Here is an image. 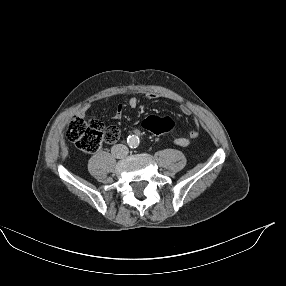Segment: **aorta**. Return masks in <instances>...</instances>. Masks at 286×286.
Listing matches in <instances>:
<instances>
[{
  "label": "aorta",
  "instance_id": "obj_1",
  "mask_svg": "<svg viewBox=\"0 0 286 286\" xmlns=\"http://www.w3.org/2000/svg\"><path fill=\"white\" fill-rule=\"evenodd\" d=\"M139 143H140V139L137 135L128 136L127 144L129 145V147L136 148L139 146Z\"/></svg>",
  "mask_w": 286,
  "mask_h": 286
}]
</instances>
